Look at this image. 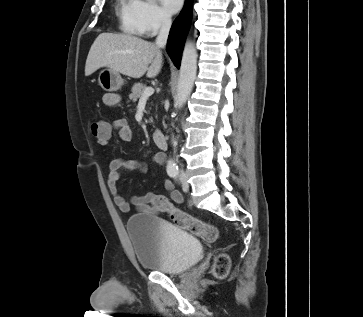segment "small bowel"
Here are the masks:
<instances>
[{"instance_id":"1","label":"small bowel","mask_w":363,"mask_h":317,"mask_svg":"<svg viewBox=\"0 0 363 317\" xmlns=\"http://www.w3.org/2000/svg\"><path fill=\"white\" fill-rule=\"evenodd\" d=\"M102 101L107 107L115 108L119 105L121 97L117 93H106L103 95ZM113 131L117 132L119 139L123 142H129L133 139L132 129L126 119L115 118L110 123L105 122L104 132L101 135L96 136L99 144L103 146L108 145ZM152 160L158 166L164 164V156L162 154H155ZM135 169L144 171V163L139 160L123 158H115L109 162L107 185L114 203L122 212H128L132 205L140 212L151 215H160L168 212V206H173V203H181L183 201V195L173 188V184L170 180L164 181V188L169 192L170 199L160 194L146 193L144 195L133 196L130 201H127L119 192L117 181L122 171Z\"/></svg>"}]
</instances>
